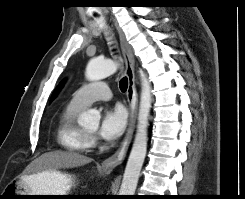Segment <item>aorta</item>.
I'll list each match as a JSON object with an SVG mask.
<instances>
[{"mask_svg": "<svg viewBox=\"0 0 245 199\" xmlns=\"http://www.w3.org/2000/svg\"><path fill=\"white\" fill-rule=\"evenodd\" d=\"M117 69L118 63L113 60L91 59L86 67L85 75L88 80L97 81L114 74ZM140 78L141 94L137 130L124 171L119 195H134L147 152V129L152 102V87L143 71H140ZM99 121V111L89 109L80 115L78 123L85 127H96L99 125Z\"/></svg>", "mask_w": 245, "mask_h": 199, "instance_id": "aorta-1", "label": "aorta"}]
</instances>
